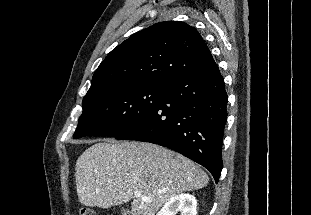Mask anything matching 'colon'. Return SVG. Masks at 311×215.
<instances>
[{
  "mask_svg": "<svg viewBox=\"0 0 311 215\" xmlns=\"http://www.w3.org/2000/svg\"><path fill=\"white\" fill-rule=\"evenodd\" d=\"M79 215H96V213L90 208H82L79 212Z\"/></svg>",
  "mask_w": 311,
  "mask_h": 215,
  "instance_id": "colon-1",
  "label": "colon"
}]
</instances>
